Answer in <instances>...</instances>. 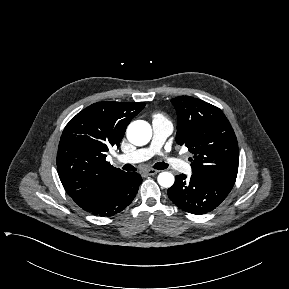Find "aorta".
<instances>
[{"label":"aorta","instance_id":"aorta-1","mask_svg":"<svg viewBox=\"0 0 289 289\" xmlns=\"http://www.w3.org/2000/svg\"><path fill=\"white\" fill-rule=\"evenodd\" d=\"M152 137V129L149 123L143 120H136L130 123L127 128V139L136 146L146 145ZM174 176L170 172H161L157 181L160 186L170 188L174 184Z\"/></svg>","mask_w":289,"mask_h":289}]
</instances>
